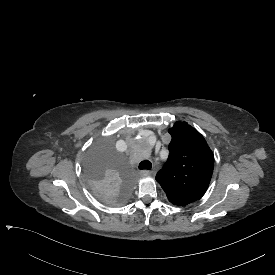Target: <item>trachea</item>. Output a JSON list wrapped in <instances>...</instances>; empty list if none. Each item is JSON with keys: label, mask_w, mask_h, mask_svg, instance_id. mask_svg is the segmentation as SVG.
<instances>
[{"label": "trachea", "mask_w": 275, "mask_h": 275, "mask_svg": "<svg viewBox=\"0 0 275 275\" xmlns=\"http://www.w3.org/2000/svg\"><path fill=\"white\" fill-rule=\"evenodd\" d=\"M138 168H139L140 170H143V169L150 170V169L152 168V164H151L150 161L144 160V161H142V162L139 163Z\"/></svg>", "instance_id": "obj_1"}]
</instances>
